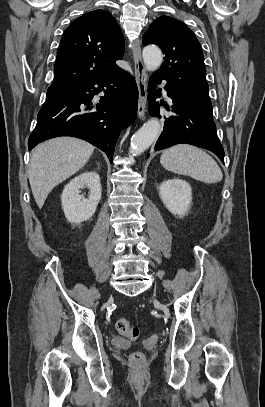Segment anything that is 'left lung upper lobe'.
<instances>
[{
	"label": "left lung upper lobe",
	"mask_w": 265,
	"mask_h": 407,
	"mask_svg": "<svg viewBox=\"0 0 265 407\" xmlns=\"http://www.w3.org/2000/svg\"><path fill=\"white\" fill-rule=\"evenodd\" d=\"M143 44H155L161 48L164 62L156 72L172 90L212 113L204 56L194 33L183 22L161 16L144 34Z\"/></svg>",
	"instance_id": "left-lung-upper-lobe-1"
}]
</instances>
